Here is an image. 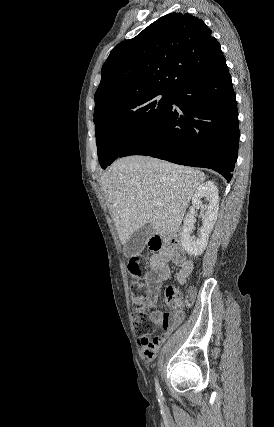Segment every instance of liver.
Returning <instances> with one entry per match:
<instances>
[{
    "mask_svg": "<svg viewBox=\"0 0 274 427\" xmlns=\"http://www.w3.org/2000/svg\"><path fill=\"white\" fill-rule=\"evenodd\" d=\"M204 180L200 170L148 156L116 160L102 174L101 184L121 243L145 223L159 235L179 229L193 192Z\"/></svg>",
    "mask_w": 274,
    "mask_h": 427,
    "instance_id": "1",
    "label": "liver"
}]
</instances>
